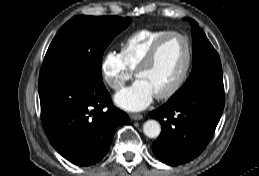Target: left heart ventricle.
I'll use <instances>...</instances> for the list:
<instances>
[{
    "mask_svg": "<svg viewBox=\"0 0 259 176\" xmlns=\"http://www.w3.org/2000/svg\"><path fill=\"white\" fill-rule=\"evenodd\" d=\"M186 61V43L178 37L168 38L155 61L141 71L137 79L144 81L157 95L166 91L180 75Z\"/></svg>",
    "mask_w": 259,
    "mask_h": 176,
    "instance_id": "left-heart-ventricle-1",
    "label": "left heart ventricle"
}]
</instances>
